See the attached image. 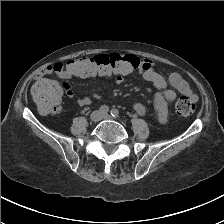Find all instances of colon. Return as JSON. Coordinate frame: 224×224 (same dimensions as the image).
<instances>
[{"instance_id": "colon-1", "label": "colon", "mask_w": 224, "mask_h": 224, "mask_svg": "<svg viewBox=\"0 0 224 224\" xmlns=\"http://www.w3.org/2000/svg\"><path fill=\"white\" fill-rule=\"evenodd\" d=\"M140 65V59L135 55L106 53L92 57H80L67 62V68L75 78L96 76H111L129 74ZM31 94L39 111L43 114H55L61 106V90L47 81L34 83ZM178 115L188 117L195 111V103L189 97L183 96L176 102Z\"/></svg>"}]
</instances>
